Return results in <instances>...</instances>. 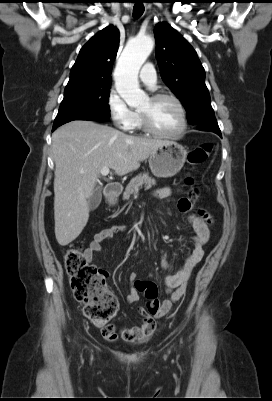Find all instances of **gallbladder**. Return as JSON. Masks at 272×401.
Listing matches in <instances>:
<instances>
[{"instance_id": "obj_1", "label": "gallbladder", "mask_w": 272, "mask_h": 401, "mask_svg": "<svg viewBox=\"0 0 272 401\" xmlns=\"http://www.w3.org/2000/svg\"><path fill=\"white\" fill-rule=\"evenodd\" d=\"M101 200H102V192L100 188H97L88 200L89 210L96 209L101 203Z\"/></svg>"}]
</instances>
